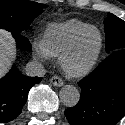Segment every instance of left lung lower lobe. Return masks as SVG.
<instances>
[{
	"label": "left lung lower lobe",
	"instance_id": "0a47b994",
	"mask_svg": "<svg viewBox=\"0 0 125 125\" xmlns=\"http://www.w3.org/2000/svg\"><path fill=\"white\" fill-rule=\"evenodd\" d=\"M79 102L65 110L71 125H115L125 115V49L110 53L78 82Z\"/></svg>",
	"mask_w": 125,
	"mask_h": 125
}]
</instances>
